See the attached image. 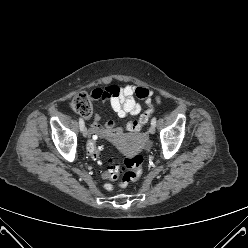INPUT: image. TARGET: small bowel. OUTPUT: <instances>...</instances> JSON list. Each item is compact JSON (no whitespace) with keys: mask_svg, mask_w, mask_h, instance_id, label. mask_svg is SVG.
<instances>
[{"mask_svg":"<svg viewBox=\"0 0 248 248\" xmlns=\"http://www.w3.org/2000/svg\"><path fill=\"white\" fill-rule=\"evenodd\" d=\"M117 88L118 92L111 90V86H109L106 90L99 92V97L108 102L121 118L128 115H138L142 111V106L136 101L135 97L142 99L146 105H150L153 99L157 103L160 102L159 97H153L152 91L142 86L128 84L122 87L117 86ZM123 131V127L117 126L112 120L102 124L101 117L98 114L95 115L90 129V132L94 135L93 138L104 136L115 139L122 135Z\"/></svg>","mask_w":248,"mask_h":248,"instance_id":"c3829d8e","label":"small bowel"}]
</instances>
